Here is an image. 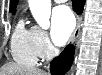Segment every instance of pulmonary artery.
Wrapping results in <instances>:
<instances>
[{
  "label": "pulmonary artery",
  "instance_id": "e3ab8cb5",
  "mask_svg": "<svg viewBox=\"0 0 102 75\" xmlns=\"http://www.w3.org/2000/svg\"><path fill=\"white\" fill-rule=\"evenodd\" d=\"M67 0H58L57 2H59V3H64V2H66Z\"/></svg>",
  "mask_w": 102,
  "mask_h": 75
}]
</instances>
